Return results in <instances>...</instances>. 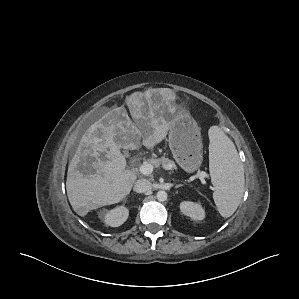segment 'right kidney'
I'll use <instances>...</instances> for the list:
<instances>
[{
    "instance_id": "obj_1",
    "label": "right kidney",
    "mask_w": 299,
    "mask_h": 299,
    "mask_svg": "<svg viewBox=\"0 0 299 299\" xmlns=\"http://www.w3.org/2000/svg\"><path fill=\"white\" fill-rule=\"evenodd\" d=\"M129 210L124 205L107 210L103 213L102 218L107 226L118 227L122 225L128 218Z\"/></svg>"
}]
</instances>
